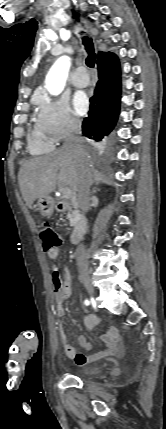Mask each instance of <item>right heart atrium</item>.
Returning <instances> with one entry per match:
<instances>
[{"label": "right heart atrium", "instance_id": "right-heart-atrium-1", "mask_svg": "<svg viewBox=\"0 0 166 429\" xmlns=\"http://www.w3.org/2000/svg\"><path fill=\"white\" fill-rule=\"evenodd\" d=\"M36 122L53 142L66 139L77 133L81 127L80 120L63 97H42L38 103Z\"/></svg>", "mask_w": 166, "mask_h": 429}]
</instances>
